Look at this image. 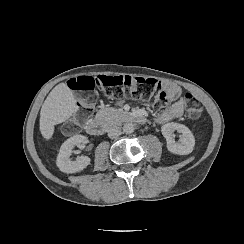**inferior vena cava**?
Returning <instances> with one entry per match:
<instances>
[{"instance_id": "obj_1", "label": "inferior vena cava", "mask_w": 244, "mask_h": 244, "mask_svg": "<svg viewBox=\"0 0 244 244\" xmlns=\"http://www.w3.org/2000/svg\"><path fill=\"white\" fill-rule=\"evenodd\" d=\"M121 134V128L113 125L108 129V136L109 138H116Z\"/></svg>"}]
</instances>
